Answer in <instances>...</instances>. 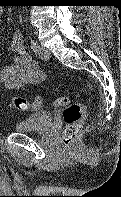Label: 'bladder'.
Here are the masks:
<instances>
[{
    "instance_id": "bladder-1",
    "label": "bladder",
    "mask_w": 121,
    "mask_h": 197,
    "mask_svg": "<svg viewBox=\"0 0 121 197\" xmlns=\"http://www.w3.org/2000/svg\"><path fill=\"white\" fill-rule=\"evenodd\" d=\"M53 123V115L49 111H40L18 122L14 130L18 133H44Z\"/></svg>"
}]
</instances>
